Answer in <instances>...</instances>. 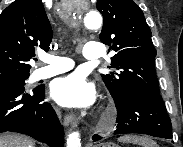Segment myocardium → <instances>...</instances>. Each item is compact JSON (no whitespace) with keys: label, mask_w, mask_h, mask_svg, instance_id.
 <instances>
[{"label":"myocardium","mask_w":183,"mask_h":147,"mask_svg":"<svg viewBox=\"0 0 183 147\" xmlns=\"http://www.w3.org/2000/svg\"><path fill=\"white\" fill-rule=\"evenodd\" d=\"M104 115H105V116H111V113L108 112V113H105Z\"/></svg>","instance_id":"1"}]
</instances>
